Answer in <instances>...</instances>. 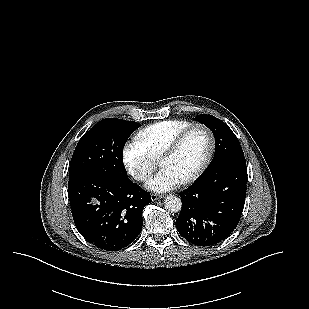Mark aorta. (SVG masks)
<instances>
[{"mask_svg":"<svg viewBox=\"0 0 309 309\" xmlns=\"http://www.w3.org/2000/svg\"><path fill=\"white\" fill-rule=\"evenodd\" d=\"M164 207L169 212L173 213L179 212L182 207L181 199L174 195H169L164 200Z\"/></svg>","mask_w":309,"mask_h":309,"instance_id":"762f6f07","label":"aorta"}]
</instances>
